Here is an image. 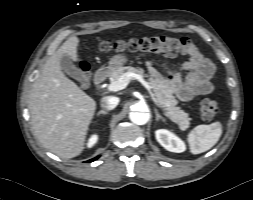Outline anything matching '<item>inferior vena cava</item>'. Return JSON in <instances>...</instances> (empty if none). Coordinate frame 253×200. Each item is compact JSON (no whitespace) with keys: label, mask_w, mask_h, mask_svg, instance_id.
I'll list each match as a JSON object with an SVG mask.
<instances>
[{"label":"inferior vena cava","mask_w":253,"mask_h":200,"mask_svg":"<svg viewBox=\"0 0 253 200\" xmlns=\"http://www.w3.org/2000/svg\"><path fill=\"white\" fill-rule=\"evenodd\" d=\"M119 103V98L114 96H107L101 100V107L106 110L114 109Z\"/></svg>","instance_id":"obj_1"}]
</instances>
